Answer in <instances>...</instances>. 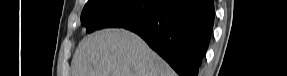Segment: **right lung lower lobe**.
<instances>
[{
  "mask_svg": "<svg viewBox=\"0 0 287 76\" xmlns=\"http://www.w3.org/2000/svg\"><path fill=\"white\" fill-rule=\"evenodd\" d=\"M213 23V0H163L149 19L126 29L143 38L179 76H197Z\"/></svg>",
  "mask_w": 287,
  "mask_h": 76,
  "instance_id": "1",
  "label": "right lung lower lobe"
}]
</instances>
